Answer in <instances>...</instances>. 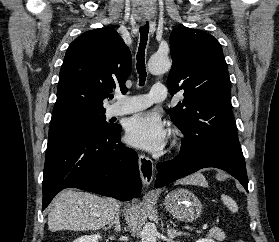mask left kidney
I'll return each mask as SVG.
<instances>
[{"label":"left kidney","instance_id":"1","mask_svg":"<svg viewBox=\"0 0 279 242\" xmlns=\"http://www.w3.org/2000/svg\"><path fill=\"white\" fill-rule=\"evenodd\" d=\"M196 242H215V241L212 240V239L205 238V239H199V240L196 241Z\"/></svg>","mask_w":279,"mask_h":242}]
</instances>
